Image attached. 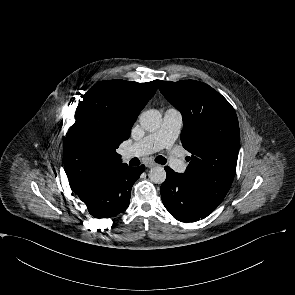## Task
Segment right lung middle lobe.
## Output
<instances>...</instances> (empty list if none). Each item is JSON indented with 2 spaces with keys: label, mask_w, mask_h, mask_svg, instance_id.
Segmentation results:
<instances>
[{
  "label": "right lung middle lobe",
  "mask_w": 295,
  "mask_h": 295,
  "mask_svg": "<svg viewBox=\"0 0 295 295\" xmlns=\"http://www.w3.org/2000/svg\"><path fill=\"white\" fill-rule=\"evenodd\" d=\"M75 119L88 133H116L133 124L119 86L114 81L95 84L79 102Z\"/></svg>",
  "instance_id": "dd1d6c3e"
}]
</instances>
